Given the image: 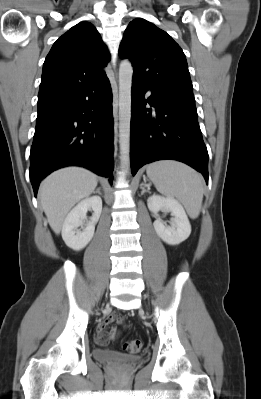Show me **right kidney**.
I'll return each mask as SVG.
<instances>
[{"label":"right kidney","instance_id":"1","mask_svg":"<svg viewBox=\"0 0 261 399\" xmlns=\"http://www.w3.org/2000/svg\"><path fill=\"white\" fill-rule=\"evenodd\" d=\"M88 210H93L91 220L82 231L78 227L82 225ZM102 212V199L100 196L88 197L79 202L67 215L62 226V238L65 244L76 251L82 250L91 241Z\"/></svg>","mask_w":261,"mask_h":399}]
</instances>
